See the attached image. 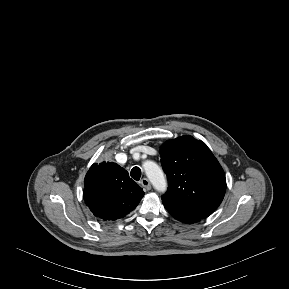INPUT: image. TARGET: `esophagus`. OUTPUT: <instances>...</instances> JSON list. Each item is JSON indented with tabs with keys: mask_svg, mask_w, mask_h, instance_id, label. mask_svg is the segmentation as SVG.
<instances>
[{
	"mask_svg": "<svg viewBox=\"0 0 289 289\" xmlns=\"http://www.w3.org/2000/svg\"><path fill=\"white\" fill-rule=\"evenodd\" d=\"M140 184L147 191L151 189L150 181L147 178H143L141 180Z\"/></svg>",
	"mask_w": 289,
	"mask_h": 289,
	"instance_id": "obj_1",
	"label": "esophagus"
}]
</instances>
